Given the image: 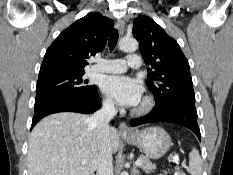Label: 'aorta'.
Here are the masks:
<instances>
[{"label": "aorta", "mask_w": 233, "mask_h": 175, "mask_svg": "<svg viewBox=\"0 0 233 175\" xmlns=\"http://www.w3.org/2000/svg\"><path fill=\"white\" fill-rule=\"evenodd\" d=\"M119 48L125 52H134L138 48V42L133 38H123L119 42ZM121 175H128V173L122 172Z\"/></svg>", "instance_id": "obj_1"}]
</instances>
